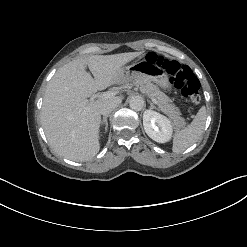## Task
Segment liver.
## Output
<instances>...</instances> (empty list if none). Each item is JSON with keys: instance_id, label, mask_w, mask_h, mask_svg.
<instances>
[{"instance_id": "6515ba94", "label": "liver", "mask_w": 247, "mask_h": 247, "mask_svg": "<svg viewBox=\"0 0 247 247\" xmlns=\"http://www.w3.org/2000/svg\"><path fill=\"white\" fill-rule=\"evenodd\" d=\"M143 52L94 55L74 59L57 70L43 98L41 123L51 148L60 156L77 161L91 160L100 150V106L104 101L89 102L98 90L122 83L128 77L122 72L125 64ZM90 69L93 77L86 71Z\"/></svg>"}]
</instances>
